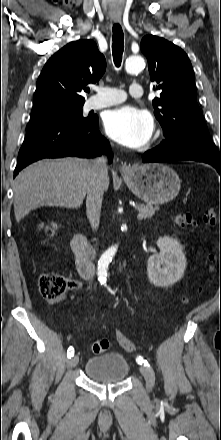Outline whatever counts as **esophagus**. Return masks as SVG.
Returning <instances> with one entry per match:
<instances>
[{
	"label": "esophagus",
	"instance_id": "esophagus-1",
	"mask_svg": "<svg viewBox=\"0 0 221 440\" xmlns=\"http://www.w3.org/2000/svg\"><path fill=\"white\" fill-rule=\"evenodd\" d=\"M112 20L116 23H120L121 22V17H113ZM120 171L122 174L126 175L128 173H130L132 171V168L130 165L124 163L121 165L120 167Z\"/></svg>",
	"mask_w": 221,
	"mask_h": 440
}]
</instances>
